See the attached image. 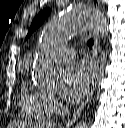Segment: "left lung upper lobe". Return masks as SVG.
<instances>
[{"instance_id":"1","label":"left lung upper lobe","mask_w":125,"mask_h":128,"mask_svg":"<svg viewBox=\"0 0 125 128\" xmlns=\"http://www.w3.org/2000/svg\"><path fill=\"white\" fill-rule=\"evenodd\" d=\"M51 10L46 8L42 10L33 20L30 29L28 31L26 39L45 21V19L49 16Z\"/></svg>"}]
</instances>
